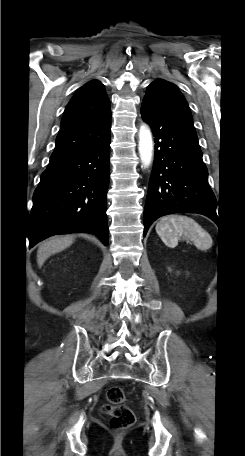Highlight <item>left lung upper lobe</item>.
Returning a JSON list of instances; mask_svg holds the SVG:
<instances>
[{"label": "left lung upper lobe", "mask_w": 245, "mask_h": 456, "mask_svg": "<svg viewBox=\"0 0 245 456\" xmlns=\"http://www.w3.org/2000/svg\"><path fill=\"white\" fill-rule=\"evenodd\" d=\"M143 100L155 105L163 112L179 115L192 121L190 108L185 98L171 82L163 79L155 80L148 86Z\"/></svg>", "instance_id": "5c2ea615"}]
</instances>
